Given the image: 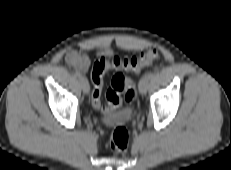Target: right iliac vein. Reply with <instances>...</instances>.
I'll use <instances>...</instances> for the list:
<instances>
[{
	"label": "right iliac vein",
	"mask_w": 231,
	"mask_h": 170,
	"mask_svg": "<svg viewBox=\"0 0 231 170\" xmlns=\"http://www.w3.org/2000/svg\"><path fill=\"white\" fill-rule=\"evenodd\" d=\"M79 82L84 94H88L90 92V85L88 81L85 78H80Z\"/></svg>",
	"instance_id": "63e3f726"
}]
</instances>
